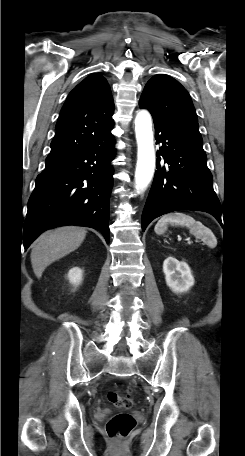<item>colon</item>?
Segmentation results:
<instances>
[{
  "instance_id": "obj_1",
  "label": "colon",
  "mask_w": 245,
  "mask_h": 456,
  "mask_svg": "<svg viewBox=\"0 0 245 456\" xmlns=\"http://www.w3.org/2000/svg\"><path fill=\"white\" fill-rule=\"evenodd\" d=\"M108 400L118 408L129 409L133 405V399L129 393L122 395L116 391L108 393ZM136 421L129 413H118L106 424V432L109 437L120 440L129 435L135 427Z\"/></svg>"
}]
</instances>
